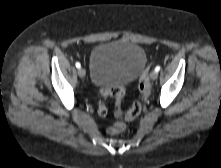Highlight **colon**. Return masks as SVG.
Masks as SVG:
<instances>
[{
  "label": "colon",
  "mask_w": 221,
  "mask_h": 168,
  "mask_svg": "<svg viewBox=\"0 0 221 168\" xmlns=\"http://www.w3.org/2000/svg\"><path fill=\"white\" fill-rule=\"evenodd\" d=\"M139 92H140V99L132 104V106L128 109V111L123 112L121 110V104L125 95V89L122 85H113L108 89L103 91V97L112 96L115 98L116 101V115L119 118H122L127 121L134 120L137 118L143 107V102L147 98L150 92V85L148 81V73L145 71L139 80ZM97 113L100 116H104L107 113L106 105L102 100H99L96 105ZM124 130V124L122 122H117L111 124L107 127V133L110 135H116Z\"/></svg>",
  "instance_id": "5ec220e1"
}]
</instances>
